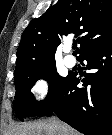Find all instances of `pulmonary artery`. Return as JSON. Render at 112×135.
<instances>
[{"label":"pulmonary artery","instance_id":"1","mask_svg":"<svg viewBox=\"0 0 112 135\" xmlns=\"http://www.w3.org/2000/svg\"><path fill=\"white\" fill-rule=\"evenodd\" d=\"M64 52L65 53H68L69 52V47H66L64 49ZM64 63L68 67H73L76 64V60H75L74 57L68 55V56H65L64 57Z\"/></svg>","mask_w":112,"mask_h":135}]
</instances>
